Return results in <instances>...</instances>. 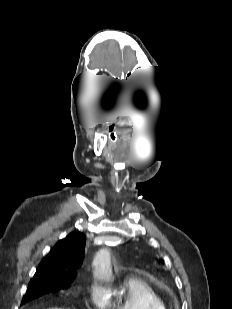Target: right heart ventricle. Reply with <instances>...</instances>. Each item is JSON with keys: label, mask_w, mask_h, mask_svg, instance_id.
<instances>
[{"label": "right heart ventricle", "mask_w": 232, "mask_h": 309, "mask_svg": "<svg viewBox=\"0 0 232 309\" xmlns=\"http://www.w3.org/2000/svg\"><path fill=\"white\" fill-rule=\"evenodd\" d=\"M104 309H166V305L145 280L129 277L115 296L107 298Z\"/></svg>", "instance_id": "right-heart-ventricle-1"}]
</instances>
